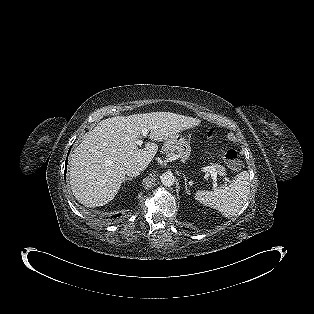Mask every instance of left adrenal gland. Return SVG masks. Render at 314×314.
<instances>
[{
    "label": "left adrenal gland",
    "mask_w": 314,
    "mask_h": 314,
    "mask_svg": "<svg viewBox=\"0 0 314 314\" xmlns=\"http://www.w3.org/2000/svg\"><path fill=\"white\" fill-rule=\"evenodd\" d=\"M183 178H184V184H185V192L187 193V194H190L189 193V190H188V185H192L190 182L188 183V180H187V178L185 177V175L183 176Z\"/></svg>",
    "instance_id": "obj_1"
}]
</instances>
